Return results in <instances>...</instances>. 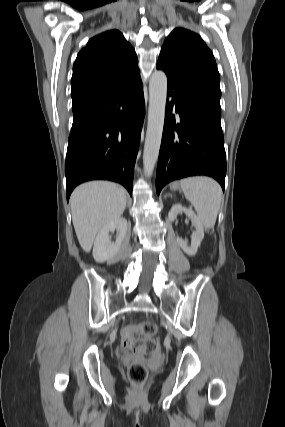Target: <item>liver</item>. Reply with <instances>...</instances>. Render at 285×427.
Returning a JSON list of instances; mask_svg holds the SVG:
<instances>
[{"mask_svg": "<svg viewBox=\"0 0 285 427\" xmlns=\"http://www.w3.org/2000/svg\"><path fill=\"white\" fill-rule=\"evenodd\" d=\"M125 190L107 181H92L78 186L71 194L72 221L80 246L92 248L96 234L120 218L126 206Z\"/></svg>", "mask_w": 285, "mask_h": 427, "instance_id": "liver-1", "label": "liver"}]
</instances>
